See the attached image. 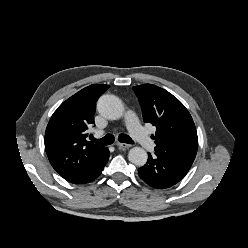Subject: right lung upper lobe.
I'll return each instance as SVG.
<instances>
[{
    "label": "right lung upper lobe",
    "mask_w": 248,
    "mask_h": 248,
    "mask_svg": "<svg viewBox=\"0 0 248 248\" xmlns=\"http://www.w3.org/2000/svg\"><path fill=\"white\" fill-rule=\"evenodd\" d=\"M109 85H90L63 102L53 113L45 132V149L56 172L69 182L83 177L106 147L92 145L87 129L94 122L97 99Z\"/></svg>",
    "instance_id": "obj_1"
}]
</instances>
